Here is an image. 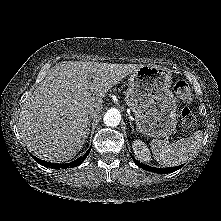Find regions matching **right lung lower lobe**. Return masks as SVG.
<instances>
[{
    "label": "right lung lower lobe",
    "instance_id": "right-lung-lower-lobe-1",
    "mask_svg": "<svg viewBox=\"0 0 221 221\" xmlns=\"http://www.w3.org/2000/svg\"><path fill=\"white\" fill-rule=\"evenodd\" d=\"M91 148L80 158L76 159L73 162L66 163V164H54L50 162H46L44 160L38 159L37 157L32 156L39 164L45 166V167H51V168H72L75 166H78L82 163V161L88 156Z\"/></svg>",
    "mask_w": 221,
    "mask_h": 221
}]
</instances>
